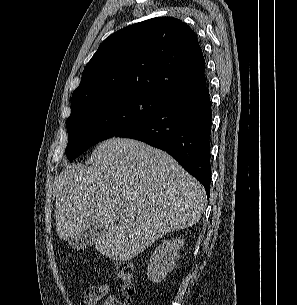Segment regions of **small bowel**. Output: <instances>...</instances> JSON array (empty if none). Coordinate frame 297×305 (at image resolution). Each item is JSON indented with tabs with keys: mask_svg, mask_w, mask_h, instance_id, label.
I'll return each mask as SVG.
<instances>
[{
	"mask_svg": "<svg viewBox=\"0 0 297 305\" xmlns=\"http://www.w3.org/2000/svg\"><path fill=\"white\" fill-rule=\"evenodd\" d=\"M109 290L108 283L88 289L82 296L81 305H96L104 297L106 298L101 305H116V295L109 294Z\"/></svg>",
	"mask_w": 297,
	"mask_h": 305,
	"instance_id": "obj_1",
	"label": "small bowel"
}]
</instances>
